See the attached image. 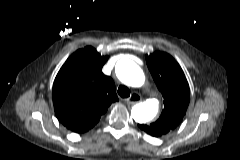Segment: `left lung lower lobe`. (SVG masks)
I'll return each instance as SVG.
<instances>
[{"mask_svg":"<svg viewBox=\"0 0 240 160\" xmlns=\"http://www.w3.org/2000/svg\"><path fill=\"white\" fill-rule=\"evenodd\" d=\"M139 127L146 133L150 134L151 136H154V137L162 136L161 134H159L158 132L150 128L148 125L140 124Z\"/></svg>","mask_w":240,"mask_h":160,"instance_id":"1","label":"left lung lower lobe"}]
</instances>
